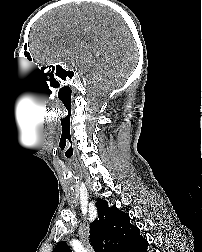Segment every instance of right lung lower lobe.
<instances>
[{
  "label": "right lung lower lobe",
  "instance_id": "right-lung-lower-lobe-1",
  "mask_svg": "<svg viewBox=\"0 0 202 252\" xmlns=\"http://www.w3.org/2000/svg\"><path fill=\"white\" fill-rule=\"evenodd\" d=\"M148 246V242L142 244L141 246H139L138 249L135 250V252H146Z\"/></svg>",
  "mask_w": 202,
  "mask_h": 252
}]
</instances>
